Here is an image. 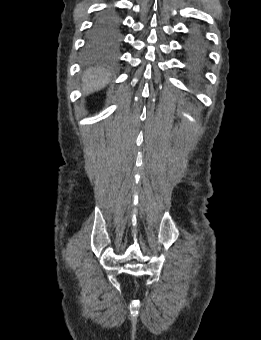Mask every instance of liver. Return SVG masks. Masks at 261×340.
Here are the masks:
<instances>
[{"label": "liver", "mask_w": 261, "mask_h": 340, "mask_svg": "<svg viewBox=\"0 0 261 340\" xmlns=\"http://www.w3.org/2000/svg\"><path fill=\"white\" fill-rule=\"evenodd\" d=\"M110 81L108 71L101 68H92L85 72L83 77V91L86 93L100 90Z\"/></svg>", "instance_id": "1"}]
</instances>
